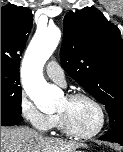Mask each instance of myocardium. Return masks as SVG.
Instances as JSON below:
<instances>
[{
    "label": "myocardium",
    "instance_id": "obj_1",
    "mask_svg": "<svg viewBox=\"0 0 123 152\" xmlns=\"http://www.w3.org/2000/svg\"><path fill=\"white\" fill-rule=\"evenodd\" d=\"M66 98L69 101H74L76 99H86L88 101H90L98 110L99 114H100V122L98 127L93 130L92 132L89 133H80L78 131H76L75 129H73V127L71 126L68 117L61 113L58 112V117L62 126V129L70 136L75 137V138H79V139H89V138H93L95 136H97L105 127L106 125V121H107V116H106V112L105 109L103 107V105L91 94H88L86 92H72L66 95Z\"/></svg>",
    "mask_w": 123,
    "mask_h": 152
}]
</instances>
